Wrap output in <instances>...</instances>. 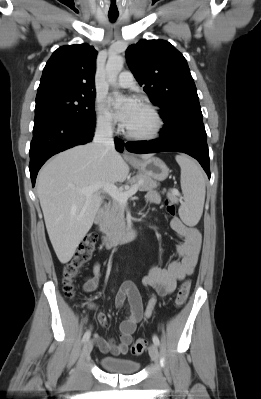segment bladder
<instances>
[{"instance_id": "31cf9c89", "label": "bladder", "mask_w": 261, "mask_h": 399, "mask_svg": "<svg viewBox=\"0 0 261 399\" xmlns=\"http://www.w3.org/2000/svg\"><path fill=\"white\" fill-rule=\"evenodd\" d=\"M100 366L107 372L121 375H132L140 368L138 361L130 359L103 356L99 359Z\"/></svg>"}]
</instances>
